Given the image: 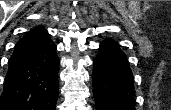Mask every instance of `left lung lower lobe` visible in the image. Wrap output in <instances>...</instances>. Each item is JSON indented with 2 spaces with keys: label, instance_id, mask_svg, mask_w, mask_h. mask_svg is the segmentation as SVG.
Listing matches in <instances>:
<instances>
[{
  "label": "left lung lower lobe",
  "instance_id": "obj_1",
  "mask_svg": "<svg viewBox=\"0 0 171 110\" xmlns=\"http://www.w3.org/2000/svg\"><path fill=\"white\" fill-rule=\"evenodd\" d=\"M92 78L96 110H135L129 62L113 39H105L100 44Z\"/></svg>",
  "mask_w": 171,
  "mask_h": 110
}]
</instances>
